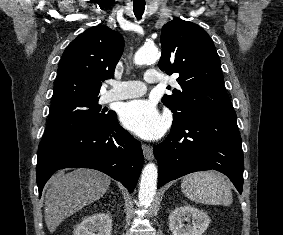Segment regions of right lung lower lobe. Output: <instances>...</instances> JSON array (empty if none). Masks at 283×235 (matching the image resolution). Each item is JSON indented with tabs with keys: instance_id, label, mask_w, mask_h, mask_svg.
I'll list each match as a JSON object with an SVG mask.
<instances>
[{
	"instance_id": "right-lung-lower-lobe-1",
	"label": "right lung lower lobe",
	"mask_w": 283,
	"mask_h": 235,
	"mask_svg": "<svg viewBox=\"0 0 283 235\" xmlns=\"http://www.w3.org/2000/svg\"><path fill=\"white\" fill-rule=\"evenodd\" d=\"M141 144L119 126L115 112L99 124L42 140L36 166L39 196L51 175L63 168H92L133 192L143 165Z\"/></svg>"
}]
</instances>
